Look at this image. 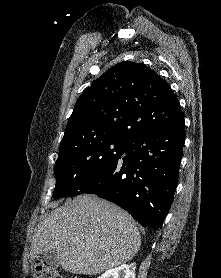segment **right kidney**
Returning <instances> with one entry per match:
<instances>
[{"label": "right kidney", "instance_id": "ca27d5eb", "mask_svg": "<svg viewBox=\"0 0 221 278\" xmlns=\"http://www.w3.org/2000/svg\"><path fill=\"white\" fill-rule=\"evenodd\" d=\"M135 263L123 264L114 269L106 271L97 278H135Z\"/></svg>", "mask_w": 221, "mask_h": 278}]
</instances>
